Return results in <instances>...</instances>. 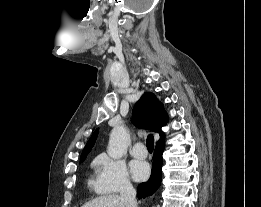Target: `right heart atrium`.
<instances>
[{
  "label": "right heart atrium",
  "mask_w": 261,
  "mask_h": 207,
  "mask_svg": "<svg viewBox=\"0 0 261 207\" xmlns=\"http://www.w3.org/2000/svg\"><path fill=\"white\" fill-rule=\"evenodd\" d=\"M97 175L92 184L100 194H111L132 187L125 164L107 154L99 155L95 160Z\"/></svg>",
  "instance_id": "right-heart-atrium-1"
}]
</instances>
